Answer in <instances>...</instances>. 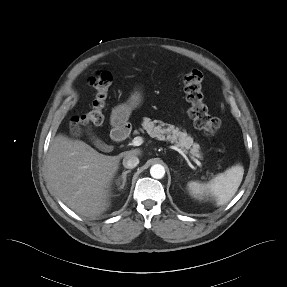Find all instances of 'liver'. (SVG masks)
Here are the masks:
<instances>
[{"label": "liver", "mask_w": 287, "mask_h": 287, "mask_svg": "<svg viewBox=\"0 0 287 287\" xmlns=\"http://www.w3.org/2000/svg\"><path fill=\"white\" fill-rule=\"evenodd\" d=\"M104 155L78 139L62 134L51 142L46 167L48 184L53 193L83 217L95 219L110 206L109 192L122 157Z\"/></svg>", "instance_id": "obj_1"}]
</instances>
